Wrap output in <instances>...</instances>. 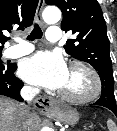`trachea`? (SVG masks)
<instances>
[{"label": "trachea", "instance_id": "obj_1", "mask_svg": "<svg viewBox=\"0 0 117 131\" xmlns=\"http://www.w3.org/2000/svg\"><path fill=\"white\" fill-rule=\"evenodd\" d=\"M42 35H43V33H42V30H41L40 26L38 24H35L32 32L27 37V39L29 41H33L35 39H41Z\"/></svg>", "mask_w": 117, "mask_h": 131}]
</instances>
